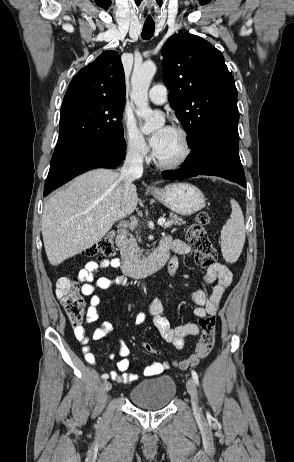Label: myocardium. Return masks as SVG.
I'll return each mask as SVG.
<instances>
[{"mask_svg":"<svg viewBox=\"0 0 294 462\" xmlns=\"http://www.w3.org/2000/svg\"><path fill=\"white\" fill-rule=\"evenodd\" d=\"M172 129L181 137L184 150L179 158L172 161H163L158 158L156 153H154V160L156 165L163 169H176L183 166L189 160L193 151L190 135L187 130L180 126H175Z\"/></svg>","mask_w":294,"mask_h":462,"instance_id":"myocardium-1","label":"myocardium"}]
</instances>
